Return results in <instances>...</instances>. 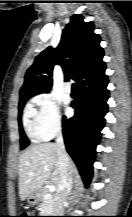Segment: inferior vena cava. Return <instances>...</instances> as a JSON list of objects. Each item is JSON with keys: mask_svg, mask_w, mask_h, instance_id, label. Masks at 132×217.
I'll use <instances>...</instances> for the list:
<instances>
[{"mask_svg": "<svg viewBox=\"0 0 132 217\" xmlns=\"http://www.w3.org/2000/svg\"><path fill=\"white\" fill-rule=\"evenodd\" d=\"M57 155H58V167L60 172V184L55 196V214L57 216H63L64 205L67 197L69 196L73 184V166L70 157L68 156L64 139L61 130L56 137Z\"/></svg>", "mask_w": 132, "mask_h": 217, "instance_id": "obj_1", "label": "inferior vena cava"}]
</instances>
